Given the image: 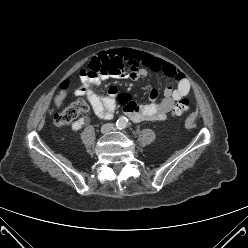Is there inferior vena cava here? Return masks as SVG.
Instances as JSON below:
<instances>
[{
  "mask_svg": "<svg viewBox=\"0 0 248 248\" xmlns=\"http://www.w3.org/2000/svg\"><path fill=\"white\" fill-rule=\"evenodd\" d=\"M113 129V124L112 123H106L101 127V132L102 133H109Z\"/></svg>",
  "mask_w": 248,
  "mask_h": 248,
  "instance_id": "inferior-vena-cava-1",
  "label": "inferior vena cava"
}]
</instances>
